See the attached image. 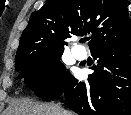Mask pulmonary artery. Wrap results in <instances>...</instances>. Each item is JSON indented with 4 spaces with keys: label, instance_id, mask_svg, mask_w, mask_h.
Segmentation results:
<instances>
[{
    "label": "pulmonary artery",
    "instance_id": "1",
    "mask_svg": "<svg viewBox=\"0 0 131 115\" xmlns=\"http://www.w3.org/2000/svg\"><path fill=\"white\" fill-rule=\"evenodd\" d=\"M72 52H73L74 56H75L77 59H79V60L84 59L85 56H86V52H85L84 50H80V49H75V48H74V49L72 50Z\"/></svg>",
    "mask_w": 131,
    "mask_h": 115
}]
</instances>
